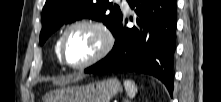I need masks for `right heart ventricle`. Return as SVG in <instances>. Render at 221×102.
Instances as JSON below:
<instances>
[{
	"label": "right heart ventricle",
	"instance_id": "right-heart-ventricle-1",
	"mask_svg": "<svg viewBox=\"0 0 221 102\" xmlns=\"http://www.w3.org/2000/svg\"><path fill=\"white\" fill-rule=\"evenodd\" d=\"M60 37H58V39L56 40L55 44H54V53L56 55V58L58 60V62H60V59H59V42H60Z\"/></svg>",
	"mask_w": 221,
	"mask_h": 102
}]
</instances>
